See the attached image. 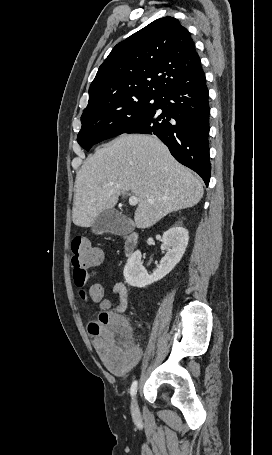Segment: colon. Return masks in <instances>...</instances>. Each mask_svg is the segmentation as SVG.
Masks as SVG:
<instances>
[{"instance_id":"5ec220e1","label":"colon","mask_w":272,"mask_h":455,"mask_svg":"<svg viewBox=\"0 0 272 455\" xmlns=\"http://www.w3.org/2000/svg\"><path fill=\"white\" fill-rule=\"evenodd\" d=\"M71 253L74 283L79 295L83 299L102 302V286L98 283L89 284V269L102 262L101 250L92 246L87 238L75 237L71 241ZM88 332L101 361L109 370L120 371L134 362L136 349L128 338V327L121 318L103 312L99 321L89 324Z\"/></svg>"}]
</instances>
